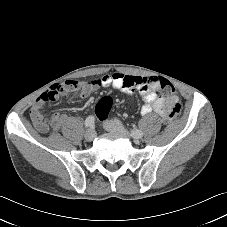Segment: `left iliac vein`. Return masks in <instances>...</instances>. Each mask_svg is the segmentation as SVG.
I'll return each instance as SVG.
<instances>
[{
  "mask_svg": "<svg viewBox=\"0 0 227 227\" xmlns=\"http://www.w3.org/2000/svg\"><path fill=\"white\" fill-rule=\"evenodd\" d=\"M103 127L105 128V130L109 132L118 133L121 135H125L127 137L131 136L125 128H123L122 126H120L118 123L114 121H105L103 123Z\"/></svg>",
  "mask_w": 227,
  "mask_h": 227,
  "instance_id": "obj_1",
  "label": "left iliac vein"
}]
</instances>
